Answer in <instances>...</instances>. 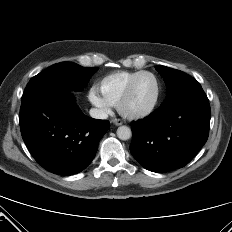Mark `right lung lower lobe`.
Segmentation results:
<instances>
[{"instance_id":"1","label":"right lung lower lobe","mask_w":232,"mask_h":232,"mask_svg":"<svg viewBox=\"0 0 232 232\" xmlns=\"http://www.w3.org/2000/svg\"><path fill=\"white\" fill-rule=\"evenodd\" d=\"M20 127L35 160L46 170L67 176L90 164L110 124L83 115L71 90L53 89L22 100Z\"/></svg>"}]
</instances>
